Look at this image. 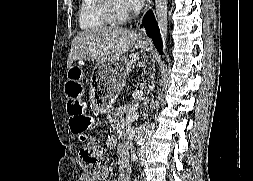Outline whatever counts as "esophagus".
I'll list each match as a JSON object with an SVG mask.
<instances>
[{"label":"esophagus","mask_w":253,"mask_h":181,"mask_svg":"<svg viewBox=\"0 0 253 181\" xmlns=\"http://www.w3.org/2000/svg\"><path fill=\"white\" fill-rule=\"evenodd\" d=\"M153 4V0H147L146 6H145V11L143 13V15L149 10L151 9ZM137 37L139 39L145 40V41H149V39L146 37L145 32L143 29H138L137 33H136Z\"/></svg>","instance_id":"esophagus-1"}]
</instances>
